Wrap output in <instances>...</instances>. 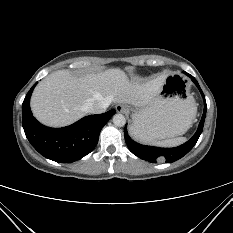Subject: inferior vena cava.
Listing matches in <instances>:
<instances>
[{"mask_svg": "<svg viewBox=\"0 0 233 233\" xmlns=\"http://www.w3.org/2000/svg\"><path fill=\"white\" fill-rule=\"evenodd\" d=\"M111 104V101L105 99L101 102H94L89 105V112L92 114L104 113L107 107Z\"/></svg>", "mask_w": 233, "mask_h": 233, "instance_id": "inferior-vena-cava-1", "label": "inferior vena cava"}]
</instances>
